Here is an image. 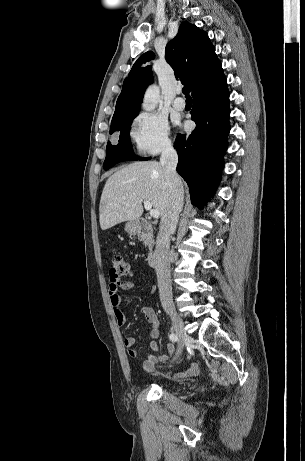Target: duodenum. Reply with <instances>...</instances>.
<instances>
[{
  "mask_svg": "<svg viewBox=\"0 0 305 461\" xmlns=\"http://www.w3.org/2000/svg\"><path fill=\"white\" fill-rule=\"evenodd\" d=\"M135 230L137 237L141 240L150 241L153 237V230L151 224L143 219L138 220L135 223ZM157 263V255L154 251H151L147 256V264L150 267L155 266Z\"/></svg>",
  "mask_w": 305,
  "mask_h": 461,
  "instance_id": "1",
  "label": "duodenum"
}]
</instances>
